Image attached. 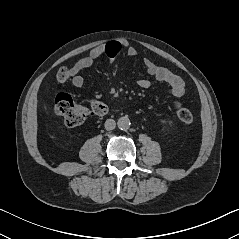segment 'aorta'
<instances>
[{"label": "aorta", "mask_w": 239, "mask_h": 239, "mask_svg": "<svg viewBox=\"0 0 239 239\" xmlns=\"http://www.w3.org/2000/svg\"><path fill=\"white\" fill-rule=\"evenodd\" d=\"M118 128L121 130L128 129L130 127V120L127 117H122L118 120Z\"/></svg>", "instance_id": "obj_1"}]
</instances>
